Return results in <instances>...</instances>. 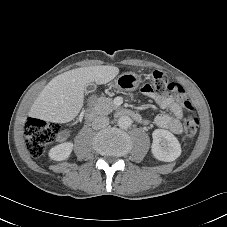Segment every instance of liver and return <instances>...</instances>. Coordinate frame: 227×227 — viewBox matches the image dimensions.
<instances>
[{
    "label": "liver",
    "instance_id": "6515ba94",
    "mask_svg": "<svg viewBox=\"0 0 227 227\" xmlns=\"http://www.w3.org/2000/svg\"><path fill=\"white\" fill-rule=\"evenodd\" d=\"M119 69L115 66H90L73 69L54 77L34 101L30 115L47 122L67 123L80 112L85 87L113 80Z\"/></svg>",
    "mask_w": 227,
    "mask_h": 227
}]
</instances>
